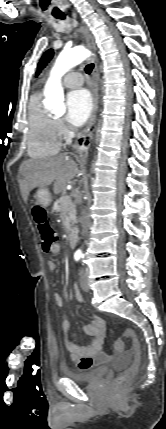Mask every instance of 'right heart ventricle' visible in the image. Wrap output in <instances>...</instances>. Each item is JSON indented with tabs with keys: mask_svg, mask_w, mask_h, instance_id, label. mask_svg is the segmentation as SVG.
<instances>
[{
	"mask_svg": "<svg viewBox=\"0 0 166 429\" xmlns=\"http://www.w3.org/2000/svg\"><path fill=\"white\" fill-rule=\"evenodd\" d=\"M60 148L54 119L41 105L39 93L32 95L28 107L27 151L32 158H45Z\"/></svg>",
	"mask_w": 166,
	"mask_h": 429,
	"instance_id": "obj_1",
	"label": "right heart ventricle"
}]
</instances>
